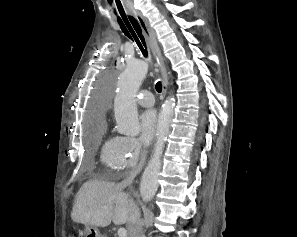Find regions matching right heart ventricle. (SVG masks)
Masks as SVG:
<instances>
[{"label": "right heart ventricle", "instance_id": "right-heart-ventricle-1", "mask_svg": "<svg viewBox=\"0 0 297 237\" xmlns=\"http://www.w3.org/2000/svg\"><path fill=\"white\" fill-rule=\"evenodd\" d=\"M119 140L120 137H109L102 146V161L111 170L121 169L119 163Z\"/></svg>", "mask_w": 297, "mask_h": 237}]
</instances>
